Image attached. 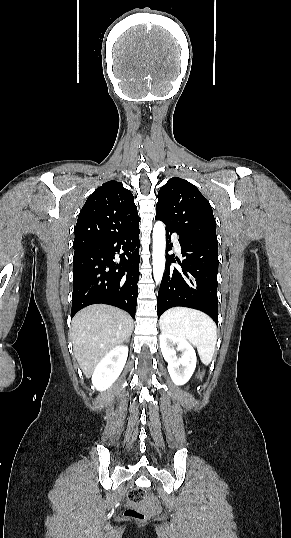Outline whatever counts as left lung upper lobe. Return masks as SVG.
<instances>
[{"label":"left lung upper lobe","mask_w":291,"mask_h":538,"mask_svg":"<svg viewBox=\"0 0 291 538\" xmlns=\"http://www.w3.org/2000/svg\"><path fill=\"white\" fill-rule=\"evenodd\" d=\"M156 219L166 227L187 235L217 241L212 207L190 182L174 177L158 192Z\"/></svg>","instance_id":"5c2ea615"}]
</instances>
